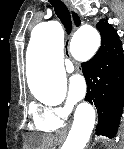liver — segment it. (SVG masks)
I'll use <instances>...</instances> for the list:
<instances>
[{
  "instance_id": "obj_1",
  "label": "liver",
  "mask_w": 124,
  "mask_h": 149,
  "mask_svg": "<svg viewBox=\"0 0 124 149\" xmlns=\"http://www.w3.org/2000/svg\"><path fill=\"white\" fill-rule=\"evenodd\" d=\"M53 142L52 136L30 137L27 149H49Z\"/></svg>"
}]
</instances>
